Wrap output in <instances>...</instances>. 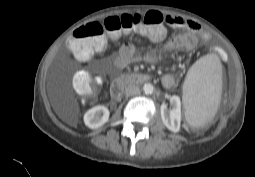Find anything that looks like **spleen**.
<instances>
[{
  "label": "spleen",
  "instance_id": "spleen-1",
  "mask_svg": "<svg viewBox=\"0 0 255 177\" xmlns=\"http://www.w3.org/2000/svg\"><path fill=\"white\" fill-rule=\"evenodd\" d=\"M222 91V65L216 54H207L189 69L183 85L187 122L201 127L215 116Z\"/></svg>",
  "mask_w": 255,
  "mask_h": 177
}]
</instances>
